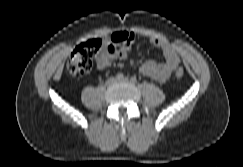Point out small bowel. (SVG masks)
<instances>
[{"mask_svg":"<svg viewBox=\"0 0 243 167\" xmlns=\"http://www.w3.org/2000/svg\"><path fill=\"white\" fill-rule=\"evenodd\" d=\"M135 40V33L122 30L105 37L104 45L96 57V67L104 70L115 60L126 59ZM149 41L160 49L165 60L162 63L153 60L146 61L141 66V73L158 82H165L180 63L178 54L173 46L158 38L152 37Z\"/></svg>","mask_w":243,"mask_h":167,"instance_id":"1","label":"small bowel"}]
</instances>
